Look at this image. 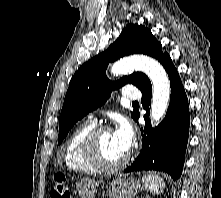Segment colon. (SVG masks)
Returning a JSON list of instances; mask_svg holds the SVG:
<instances>
[{
  "label": "colon",
  "instance_id": "5ec220e1",
  "mask_svg": "<svg viewBox=\"0 0 221 198\" xmlns=\"http://www.w3.org/2000/svg\"><path fill=\"white\" fill-rule=\"evenodd\" d=\"M51 198H71L70 187L66 182L65 176L56 174L53 177V186L50 191Z\"/></svg>",
  "mask_w": 221,
  "mask_h": 198
}]
</instances>
